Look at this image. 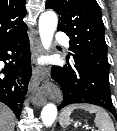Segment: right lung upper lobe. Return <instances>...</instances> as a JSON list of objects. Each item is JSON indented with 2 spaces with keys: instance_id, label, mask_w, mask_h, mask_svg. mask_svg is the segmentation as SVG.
<instances>
[{
  "instance_id": "1",
  "label": "right lung upper lobe",
  "mask_w": 117,
  "mask_h": 131,
  "mask_svg": "<svg viewBox=\"0 0 117 131\" xmlns=\"http://www.w3.org/2000/svg\"><path fill=\"white\" fill-rule=\"evenodd\" d=\"M25 0H0V44L27 31Z\"/></svg>"
}]
</instances>
